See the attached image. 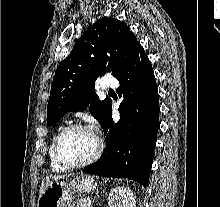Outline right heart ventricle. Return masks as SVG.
Wrapping results in <instances>:
<instances>
[{"instance_id":"e07e8e85","label":"right heart ventricle","mask_w":220,"mask_h":207,"mask_svg":"<svg viewBox=\"0 0 220 207\" xmlns=\"http://www.w3.org/2000/svg\"><path fill=\"white\" fill-rule=\"evenodd\" d=\"M53 144V143H52ZM49 159H50V166L51 168L54 170V171H61V170H64L63 167H61L54 159V156H53V151H52V145L50 147V150H49Z\"/></svg>"}]
</instances>
